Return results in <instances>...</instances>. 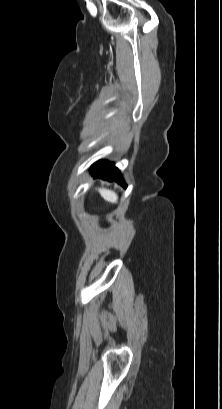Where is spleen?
Instances as JSON below:
<instances>
[{
    "label": "spleen",
    "instance_id": "3e777b00",
    "mask_svg": "<svg viewBox=\"0 0 222 409\" xmlns=\"http://www.w3.org/2000/svg\"><path fill=\"white\" fill-rule=\"evenodd\" d=\"M98 192L102 196V198L110 203H117L118 196L115 192L105 188H99Z\"/></svg>",
    "mask_w": 222,
    "mask_h": 409
}]
</instances>
